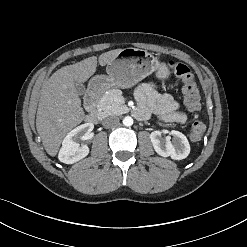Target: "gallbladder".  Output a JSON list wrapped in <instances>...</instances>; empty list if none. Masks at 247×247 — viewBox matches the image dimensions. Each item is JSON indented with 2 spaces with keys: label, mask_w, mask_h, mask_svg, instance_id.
<instances>
[{
  "label": "gallbladder",
  "mask_w": 247,
  "mask_h": 247,
  "mask_svg": "<svg viewBox=\"0 0 247 247\" xmlns=\"http://www.w3.org/2000/svg\"><path fill=\"white\" fill-rule=\"evenodd\" d=\"M76 91L78 95H84L85 94V86L82 83H76L75 85Z\"/></svg>",
  "instance_id": "bac80fb5"
}]
</instances>
